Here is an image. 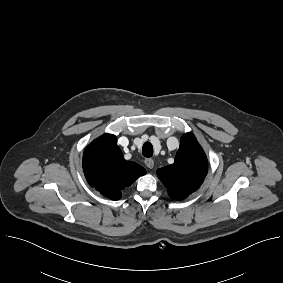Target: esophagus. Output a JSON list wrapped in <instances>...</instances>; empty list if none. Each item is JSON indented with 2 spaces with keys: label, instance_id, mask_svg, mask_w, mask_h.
I'll list each match as a JSON object with an SVG mask.
<instances>
[{
  "label": "esophagus",
  "instance_id": "1",
  "mask_svg": "<svg viewBox=\"0 0 283 283\" xmlns=\"http://www.w3.org/2000/svg\"><path fill=\"white\" fill-rule=\"evenodd\" d=\"M144 163L149 169H152L154 167V160L151 158H146Z\"/></svg>",
  "mask_w": 283,
  "mask_h": 283
}]
</instances>
